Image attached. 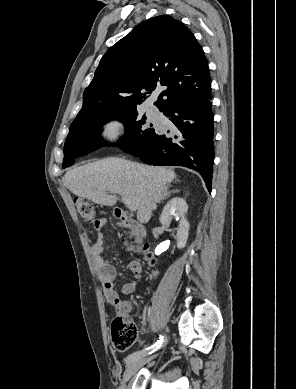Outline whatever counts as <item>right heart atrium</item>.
<instances>
[{"instance_id":"obj_1","label":"right heart atrium","mask_w":296,"mask_h":389,"mask_svg":"<svg viewBox=\"0 0 296 389\" xmlns=\"http://www.w3.org/2000/svg\"><path fill=\"white\" fill-rule=\"evenodd\" d=\"M121 132V124L116 119H111L105 122L101 128L99 135L101 139L106 141H114L116 140Z\"/></svg>"}]
</instances>
